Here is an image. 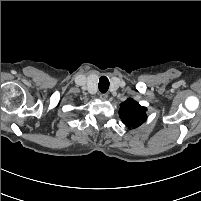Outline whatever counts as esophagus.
<instances>
[{
	"mask_svg": "<svg viewBox=\"0 0 201 201\" xmlns=\"http://www.w3.org/2000/svg\"><path fill=\"white\" fill-rule=\"evenodd\" d=\"M99 97L101 100H106L108 98V93H101Z\"/></svg>",
	"mask_w": 201,
	"mask_h": 201,
	"instance_id": "1",
	"label": "esophagus"
}]
</instances>
